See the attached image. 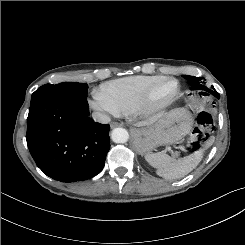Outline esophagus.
I'll return each instance as SVG.
<instances>
[{"label": "esophagus", "mask_w": 245, "mask_h": 245, "mask_svg": "<svg viewBox=\"0 0 245 245\" xmlns=\"http://www.w3.org/2000/svg\"><path fill=\"white\" fill-rule=\"evenodd\" d=\"M119 126H121V124L118 123V122H112V123L110 124V127H111V128H115V127H119Z\"/></svg>", "instance_id": "1"}]
</instances>
